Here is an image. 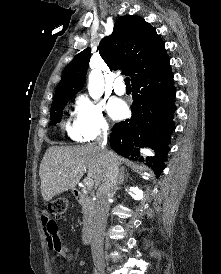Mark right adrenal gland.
I'll use <instances>...</instances> for the list:
<instances>
[{
	"mask_svg": "<svg viewBox=\"0 0 221 274\" xmlns=\"http://www.w3.org/2000/svg\"><path fill=\"white\" fill-rule=\"evenodd\" d=\"M125 169L124 168H121L120 169V172H119V183L121 184L123 181H124V178L127 176L128 177V174H125Z\"/></svg>",
	"mask_w": 221,
	"mask_h": 274,
	"instance_id": "right-adrenal-gland-1",
	"label": "right adrenal gland"
}]
</instances>
